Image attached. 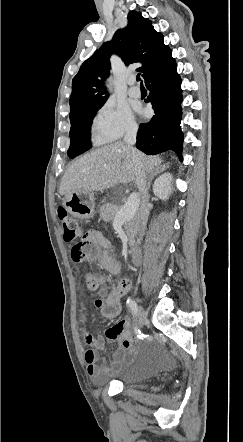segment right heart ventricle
<instances>
[{"mask_svg":"<svg viewBox=\"0 0 243 442\" xmlns=\"http://www.w3.org/2000/svg\"><path fill=\"white\" fill-rule=\"evenodd\" d=\"M93 138L96 143H105V141L100 139L94 132H93Z\"/></svg>","mask_w":243,"mask_h":442,"instance_id":"e07e8e85","label":"right heart ventricle"}]
</instances>
